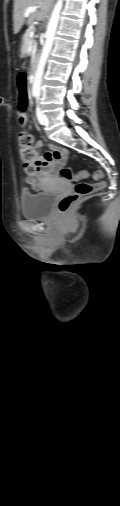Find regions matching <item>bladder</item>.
<instances>
[{
    "mask_svg": "<svg viewBox=\"0 0 120 506\" xmlns=\"http://www.w3.org/2000/svg\"><path fill=\"white\" fill-rule=\"evenodd\" d=\"M55 197L53 191L22 192L19 197L22 215L29 219L48 217Z\"/></svg>",
    "mask_w": 120,
    "mask_h": 506,
    "instance_id": "obj_1",
    "label": "bladder"
}]
</instances>
